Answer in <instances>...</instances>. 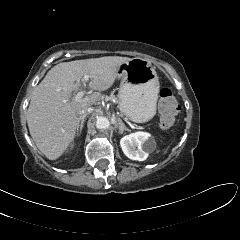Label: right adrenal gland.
Wrapping results in <instances>:
<instances>
[{
    "mask_svg": "<svg viewBox=\"0 0 240 240\" xmlns=\"http://www.w3.org/2000/svg\"><path fill=\"white\" fill-rule=\"evenodd\" d=\"M85 117H86V115H84V116H82V117H79V122H80V124H79V126L77 127V131H76V135H77V136H80L81 133H82V129H83V127H84V122H85Z\"/></svg>",
    "mask_w": 240,
    "mask_h": 240,
    "instance_id": "1",
    "label": "right adrenal gland"
}]
</instances>
